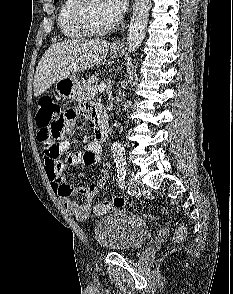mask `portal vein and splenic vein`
Segmentation results:
<instances>
[{
  "label": "portal vein and splenic vein",
  "mask_w": 233,
  "mask_h": 294,
  "mask_svg": "<svg viewBox=\"0 0 233 294\" xmlns=\"http://www.w3.org/2000/svg\"><path fill=\"white\" fill-rule=\"evenodd\" d=\"M105 89V83L104 81L100 82V85L98 86V91L103 92Z\"/></svg>",
  "instance_id": "18ae733b"
}]
</instances>
